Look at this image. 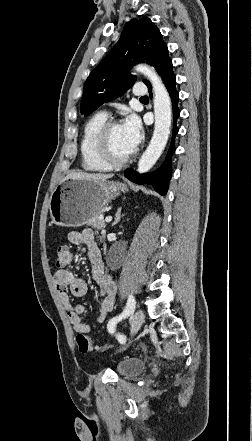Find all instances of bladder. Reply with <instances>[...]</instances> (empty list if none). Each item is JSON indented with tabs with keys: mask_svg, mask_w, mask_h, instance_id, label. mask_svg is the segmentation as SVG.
Listing matches in <instances>:
<instances>
[{
	"mask_svg": "<svg viewBox=\"0 0 252 441\" xmlns=\"http://www.w3.org/2000/svg\"><path fill=\"white\" fill-rule=\"evenodd\" d=\"M145 361L138 357H129L120 360L117 364V372L123 377H134L142 373Z\"/></svg>",
	"mask_w": 252,
	"mask_h": 441,
	"instance_id": "obj_1",
	"label": "bladder"
}]
</instances>
